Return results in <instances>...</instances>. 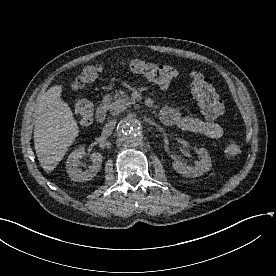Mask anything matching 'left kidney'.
<instances>
[{"mask_svg": "<svg viewBox=\"0 0 276 276\" xmlns=\"http://www.w3.org/2000/svg\"><path fill=\"white\" fill-rule=\"evenodd\" d=\"M199 161L195 162L194 166H187L181 161H174L172 166L174 170L184 177H198L208 172L211 169V158L205 148L198 150Z\"/></svg>", "mask_w": 276, "mask_h": 276, "instance_id": "5707ae66", "label": "left kidney"}]
</instances>
